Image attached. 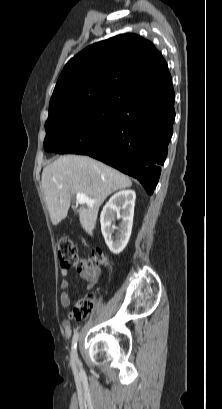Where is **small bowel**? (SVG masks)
Wrapping results in <instances>:
<instances>
[{"mask_svg":"<svg viewBox=\"0 0 222 409\" xmlns=\"http://www.w3.org/2000/svg\"><path fill=\"white\" fill-rule=\"evenodd\" d=\"M82 261H85L84 258H81ZM101 273V269L99 266H94L92 268H85L81 273L80 276L83 280L87 282V290L92 289L99 278V275ZM62 275L65 277L62 279L60 286L63 290H66L69 288V281L66 278L68 276L67 270L62 269ZM71 295L67 293L66 291L62 292L60 295V304L63 307H68L71 304ZM73 318L72 314L69 315L68 319L63 320L62 325L65 331L66 335H70L72 333V325H71V319Z\"/></svg>","mask_w":222,"mask_h":409,"instance_id":"c3829d8e","label":"small bowel"}]
</instances>
